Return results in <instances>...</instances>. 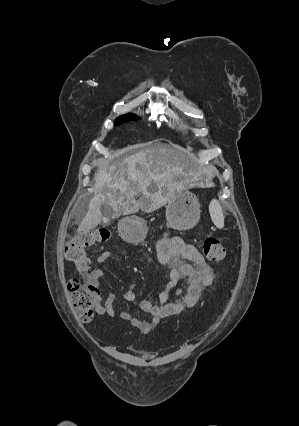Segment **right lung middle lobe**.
I'll return each instance as SVG.
<instances>
[{"mask_svg":"<svg viewBox=\"0 0 299 426\" xmlns=\"http://www.w3.org/2000/svg\"><path fill=\"white\" fill-rule=\"evenodd\" d=\"M129 120H138V117L133 114H126L118 117L115 121V125H121L124 122H127Z\"/></svg>","mask_w":299,"mask_h":426,"instance_id":"dd1d6c3e","label":"right lung middle lobe"}]
</instances>
